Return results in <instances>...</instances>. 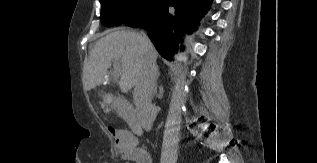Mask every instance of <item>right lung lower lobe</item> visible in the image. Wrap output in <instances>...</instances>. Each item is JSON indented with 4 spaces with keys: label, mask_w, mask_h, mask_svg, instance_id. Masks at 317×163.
<instances>
[{
    "label": "right lung lower lobe",
    "mask_w": 317,
    "mask_h": 163,
    "mask_svg": "<svg viewBox=\"0 0 317 163\" xmlns=\"http://www.w3.org/2000/svg\"><path fill=\"white\" fill-rule=\"evenodd\" d=\"M212 0H162L144 18L128 24L129 27H144L158 52L172 60L185 33L197 29L199 19L209 10ZM173 6L175 12L169 9Z\"/></svg>",
    "instance_id": "98d812e1"
}]
</instances>
